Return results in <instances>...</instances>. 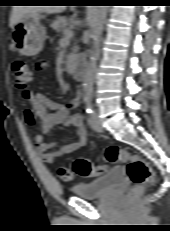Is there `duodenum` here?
Instances as JSON below:
<instances>
[{"instance_id":"410a0bca","label":"duodenum","mask_w":170,"mask_h":231,"mask_svg":"<svg viewBox=\"0 0 170 231\" xmlns=\"http://www.w3.org/2000/svg\"><path fill=\"white\" fill-rule=\"evenodd\" d=\"M69 69L78 80H83L85 76V65L82 60H72L68 63Z\"/></svg>"}]
</instances>
